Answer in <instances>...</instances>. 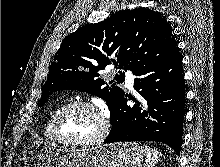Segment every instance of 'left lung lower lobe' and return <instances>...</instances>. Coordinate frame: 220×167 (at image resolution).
<instances>
[{"label":"left lung lower lobe","instance_id":"0a47b994","mask_svg":"<svg viewBox=\"0 0 220 167\" xmlns=\"http://www.w3.org/2000/svg\"><path fill=\"white\" fill-rule=\"evenodd\" d=\"M135 105L123 95L110 112L112 129L104 144L120 141H160L177 155L182 144L185 89L178 48L135 73Z\"/></svg>","mask_w":220,"mask_h":167}]
</instances>
